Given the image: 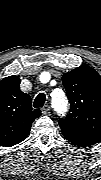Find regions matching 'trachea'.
Returning <instances> with one entry per match:
<instances>
[{"label":"trachea","instance_id":"1","mask_svg":"<svg viewBox=\"0 0 101 180\" xmlns=\"http://www.w3.org/2000/svg\"><path fill=\"white\" fill-rule=\"evenodd\" d=\"M45 101H46L45 94L44 93H39L36 96L33 105H34L35 108H40V107H42L44 105Z\"/></svg>","mask_w":101,"mask_h":180}]
</instances>
